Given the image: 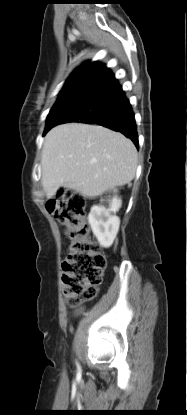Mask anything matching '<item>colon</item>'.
I'll return each instance as SVG.
<instances>
[{
  "instance_id": "colon-1",
  "label": "colon",
  "mask_w": 187,
  "mask_h": 415,
  "mask_svg": "<svg viewBox=\"0 0 187 415\" xmlns=\"http://www.w3.org/2000/svg\"><path fill=\"white\" fill-rule=\"evenodd\" d=\"M47 208L65 227L69 239L68 253L62 264V282L68 305L76 307L96 296L106 257L91 238L83 195L62 189Z\"/></svg>"
}]
</instances>
